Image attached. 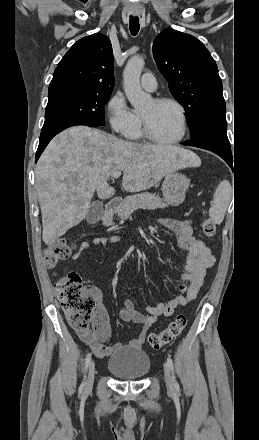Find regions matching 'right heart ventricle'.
Segmentation results:
<instances>
[{
  "label": "right heart ventricle",
  "instance_id": "obj_1",
  "mask_svg": "<svg viewBox=\"0 0 259 440\" xmlns=\"http://www.w3.org/2000/svg\"><path fill=\"white\" fill-rule=\"evenodd\" d=\"M138 118V122L136 124V126L133 128V130L130 132V134L128 135L131 139L134 140H139L143 137L144 133L142 130V122H141V118L139 115H137Z\"/></svg>",
  "mask_w": 259,
  "mask_h": 440
}]
</instances>
